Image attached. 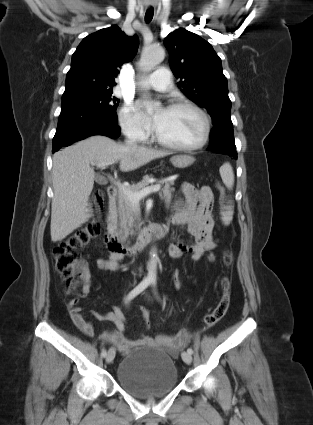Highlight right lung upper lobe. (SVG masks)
Wrapping results in <instances>:
<instances>
[{"label":"right lung upper lobe","instance_id":"cb5924a9","mask_svg":"<svg viewBox=\"0 0 313 425\" xmlns=\"http://www.w3.org/2000/svg\"><path fill=\"white\" fill-rule=\"evenodd\" d=\"M138 37H129L113 25L85 37L73 53L66 76L65 92L84 89H112L123 63L138 49Z\"/></svg>","mask_w":313,"mask_h":425}]
</instances>
